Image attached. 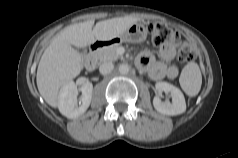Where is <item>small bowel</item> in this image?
Instances as JSON below:
<instances>
[{"mask_svg":"<svg viewBox=\"0 0 238 158\" xmlns=\"http://www.w3.org/2000/svg\"><path fill=\"white\" fill-rule=\"evenodd\" d=\"M175 52L174 43L165 44L160 49L161 61H158L151 51L145 50L139 55L137 65L147 71L154 80L174 79L179 73L177 66L171 63L175 57Z\"/></svg>","mask_w":238,"mask_h":158,"instance_id":"small-bowel-1","label":"small bowel"}]
</instances>
